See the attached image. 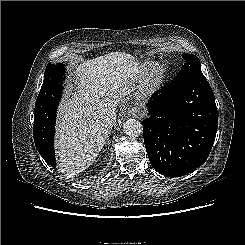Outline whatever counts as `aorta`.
<instances>
[{
	"label": "aorta",
	"instance_id": "762f6f07",
	"mask_svg": "<svg viewBox=\"0 0 245 245\" xmlns=\"http://www.w3.org/2000/svg\"><path fill=\"white\" fill-rule=\"evenodd\" d=\"M123 130L129 137H138L143 131V126L138 120L129 119L124 123Z\"/></svg>",
	"mask_w": 245,
	"mask_h": 245
}]
</instances>
